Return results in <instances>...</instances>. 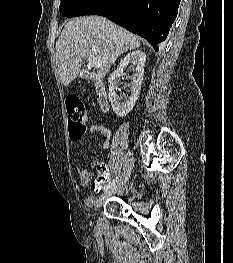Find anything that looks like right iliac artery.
Masks as SVG:
<instances>
[{
  "label": "right iliac artery",
  "instance_id": "82829eb1",
  "mask_svg": "<svg viewBox=\"0 0 233 263\" xmlns=\"http://www.w3.org/2000/svg\"><path fill=\"white\" fill-rule=\"evenodd\" d=\"M118 179L119 177L117 176L114 180L110 181L107 185H105L104 190L106 191L109 188H111L115 184V182H117Z\"/></svg>",
  "mask_w": 233,
  "mask_h": 263
}]
</instances>
